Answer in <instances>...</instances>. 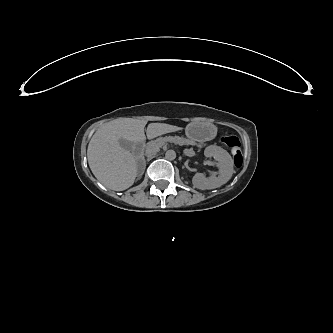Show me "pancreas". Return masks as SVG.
I'll use <instances>...</instances> for the list:
<instances>
[{
	"instance_id": "obj_1",
	"label": "pancreas",
	"mask_w": 333,
	"mask_h": 333,
	"mask_svg": "<svg viewBox=\"0 0 333 333\" xmlns=\"http://www.w3.org/2000/svg\"><path fill=\"white\" fill-rule=\"evenodd\" d=\"M164 142L163 139H160V140H157V141H154L152 143H150L147 148H146V153L148 155H152L154 153V150L162 143ZM174 143H177V144H188V142L184 141V140H173Z\"/></svg>"
}]
</instances>
